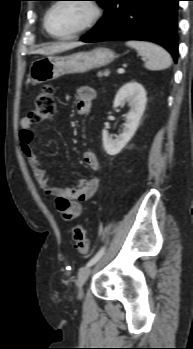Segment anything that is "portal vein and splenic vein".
Segmentation results:
<instances>
[{
	"label": "portal vein and splenic vein",
	"mask_w": 193,
	"mask_h": 349,
	"mask_svg": "<svg viewBox=\"0 0 193 349\" xmlns=\"http://www.w3.org/2000/svg\"><path fill=\"white\" fill-rule=\"evenodd\" d=\"M117 73H119V74L124 73V69L123 68H118L117 69Z\"/></svg>",
	"instance_id": "obj_1"
}]
</instances>
